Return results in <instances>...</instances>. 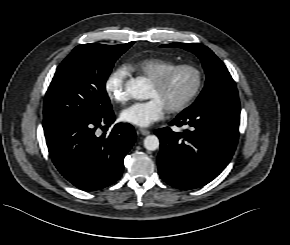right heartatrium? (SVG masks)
<instances>
[{
	"label": "right heart atrium",
	"instance_id": "1",
	"mask_svg": "<svg viewBox=\"0 0 290 245\" xmlns=\"http://www.w3.org/2000/svg\"><path fill=\"white\" fill-rule=\"evenodd\" d=\"M127 76L128 71L126 67L120 66L110 73L105 82L106 94L111 100L119 104L126 103L129 98L125 87Z\"/></svg>",
	"mask_w": 290,
	"mask_h": 245
}]
</instances>
